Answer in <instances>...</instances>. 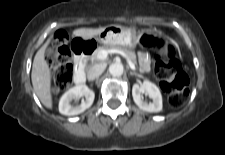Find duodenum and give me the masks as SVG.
I'll return each instance as SVG.
<instances>
[{"mask_svg": "<svg viewBox=\"0 0 225 155\" xmlns=\"http://www.w3.org/2000/svg\"><path fill=\"white\" fill-rule=\"evenodd\" d=\"M93 49L94 47L89 42H79L73 48L75 54L74 82L76 84H82L86 80L85 63Z\"/></svg>", "mask_w": 225, "mask_h": 155, "instance_id": "duodenum-1", "label": "duodenum"}]
</instances>
